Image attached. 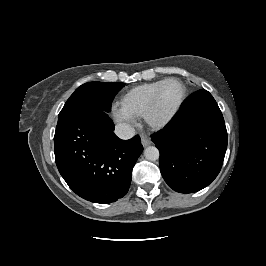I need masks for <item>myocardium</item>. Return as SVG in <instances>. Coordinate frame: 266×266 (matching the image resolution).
Segmentation results:
<instances>
[{
    "mask_svg": "<svg viewBox=\"0 0 266 266\" xmlns=\"http://www.w3.org/2000/svg\"><path fill=\"white\" fill-rule=\"evenodd\" d=\"M170 82H177L180 87H181V97L179 99V102L177 104V106L175 107V109L163 120H156L154 118V113L155 110L157 108V102H158V98L159 95L162 91V89L164 88V86ZM187 97V89L185 84L183 83V81L177 77H170L165 79L162 84L156 89V91L154 92L152 99L144 113V119L146 121V123L153 129L156 130H160L163 129L165 127H167L174 119L175 117L178 115V113L180 112L185 100Z\"/></svg>",
    "mask_w": 266,
    "mask_h": 266,
    "instance_id": "myocardium-1",
    "label": "myocardium"
}]
</instances>
